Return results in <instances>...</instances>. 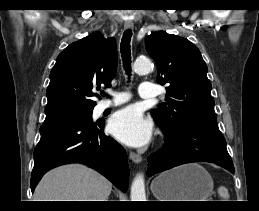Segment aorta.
<instances>
[{"label": "aorta", "instance_id": "obj_1", "mask_svg": "<svg viewBox=\"0 0 259 211\" xmlns=\"http://www.w3.org/2000/svg\"><path fill=\"white\" fill-rule=\"evenodd\" d=\"M134 71L137 74L149 73L152 69V63L149 59H138L134 63ZM131 201H146L145 181L143 174H137L131 185Z\"/></svg>", "mask_w": 259, "mask_h": 211}]
</instances>
